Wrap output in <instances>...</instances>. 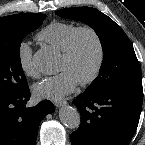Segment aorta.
<instances>
[{
  "mask_svg": "<svg viewBox=\"0 0 145 145\" xmlns=\"http://www.w3.org/2000/svg\"><path fill=\"white\" fill-rule=\"evenodd\" d=\"M36 66L42 71H50L55 59L49 50H39L34 56ZM60 121L70 129H77L80 125V113L72 106H64L59 110Z\"/></svg>",
  "mask_w": 145,
  "mask_h": 145,
  "instance_id": "obj_1",
  "label": "aorta"
}]
</instances>
